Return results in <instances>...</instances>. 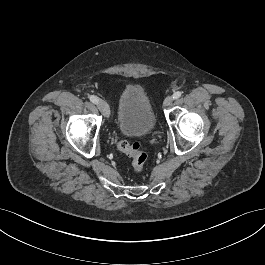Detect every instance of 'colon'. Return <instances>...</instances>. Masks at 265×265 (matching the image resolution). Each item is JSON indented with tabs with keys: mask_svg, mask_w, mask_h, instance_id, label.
Masks as SVG:
<instances>
[{
	"mask_svg": "<svg viewBox=\"0 0 265 265\" xmlns=\"http://www.w3.org/2000/svg\"><path fill=\"white\" fill-rule=\"evenodd\" d=\"M118 150L131 159L133 170L137 173L143 171L148 156L145 151L141 149L138 142L130 143L126 140H121L118 143Z\"/></svg>",
	"mask_w": 265,
	"mask_h": 265,
	"instance_id": "1",
	"label": "colon"
}]
</instances>
